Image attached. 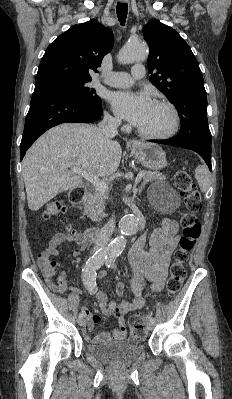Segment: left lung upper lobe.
Segmentation results:
<instances>
[{
  "label": "left lung upper lobe",
  "instance_id": "left-lung-upper-lobe-1",
  "mask_svg": "<svg viewBox=\"0 0 232 399\" xmlns=\"http://www.w3.org/2000/svg\"><path fill=\"white\" fill-rule=\"evenodd\" d=\"M143 34L149 45V80L176 107L181 119L175 138L211 149L207 96L193 52L178 32L156 19L145 25Z\"/></svg>",
  "mask_w": 232,
  "mask_h": 399
}]
</instances>
